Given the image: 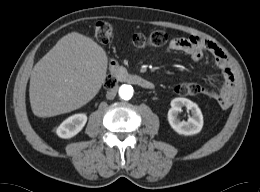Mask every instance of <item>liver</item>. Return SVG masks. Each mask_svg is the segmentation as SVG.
I'll list each match as a JSON object with an SVG mask.
<instances>
[{
  "instance_id": "6515ba94",
  "label": "liver",
  "mask_w": 260,
  "mask_h": 192,
  "mask_svg": "<svg viewBox=\"0 0 260 192\" xmlns=\"http://www.w3.org/2000/svg\"><path fill=\"white\" fill-rule=\"evenodd\" d=\"M107 66L105 50L93 39L78 32L63 36L32 70V112L51 117L87 104L104 83Z\"/></svg>"
}]
</instances>
